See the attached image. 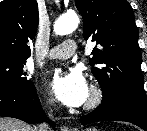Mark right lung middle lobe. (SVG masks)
Masks as SVG:
<instances>
[{"mask_svg": "<svg viewBox=\"0 0 147 131\" xmlns=\"http://www.w3.org/2000/svg\"><path fill=\"white\" fill-rule=\"evenodd\" d=\"M26 59L0 57V89L28 91L34 85L24 70Z\"/></svg>", "mask_w": 147, "mask_h": 131, "instance_id": "dd1d6c3e", "label": "right lung middle lobe"}]
</instances>
